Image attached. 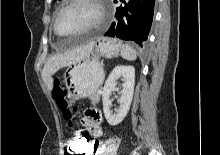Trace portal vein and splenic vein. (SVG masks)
<instances>
[{
	"instance_id": "1",
	"label": "portal vein and splenic vein",
	"mask_w": 220,
	"mask_h": 155,
	"mask_svg": "<svg viewBox=\"0 0 220 155\" xmlns=\"http://www.w3.org/2000/svg\"><path fill=\"white\" fill-rule=\"evenodd\" d=\"M98 93L101 94L102 93L101 90H98Z\"/></svg>"
}]
</instances>
